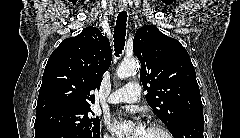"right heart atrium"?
I'll use <instances>...</instances> for the list:
<instances>
[{"label": "right heart atrium", "instance_id": "1", "mask_svg": "<svg viewBox=\"0 0 240 138\" xmlns=\"http://www.w3.org/2000/svg\"><path fill=\"white\" fill-rule=\"evenodd\" d=\"M104 138H112V137L110 135H108L107 133H105Z\"/></svg>", "mask_w": 240, "mask_h": 138}]
</instances>
